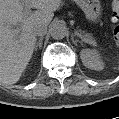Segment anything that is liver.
I'll use <instances>...</instances> for the list:
<instances>
[{"mask_svg": "<svg viewBox=\"0 0 119 119\" xmlns=\"http://www.w3.org/2000/svg\"><path fill=\"white\" fill-rule=\"evenodd\" d=\"M24 0H0V82L17 83L29 64L36 45L34 28L48 25L62 0H27L28 6L37 9L24 14ZM20 23L18 32L12 25Z\"/></svg>", "mask_w": 119, "mask_h": 119, "instance_id": "liver-1", "label": "liver"}]
</instances>
